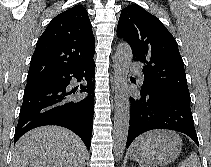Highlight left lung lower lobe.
<instances>
[{
  "label": "left lung lower lobe",
  "mask_w": 211,
  "mask_h": 167,
  "mask_svg": "<svg viewBox=\"0 0 211 167\" xmlns=\"http://www.w3.org/2000/svg\"><path fill=\"white\" fill-rule=\"evenodd\" d=\"M130 127L127 148L140 134L153 129H169L188 135L199 145L190 104L171 96L140 89L131 98Z\"/></svg>",
  "instance_id": "left-lung-lower-lobe-1"
}]
</instances>
